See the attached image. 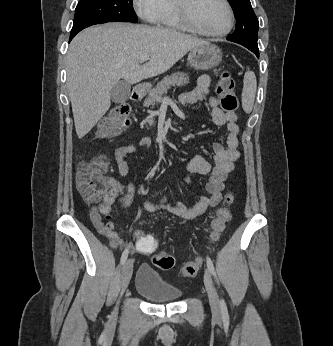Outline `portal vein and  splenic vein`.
I'll use <instances>...</instances> for the list:
<instances>
[{"label":"portal vein and splenic vein","mask_w":333,"mask_h":346,"mask_svg":"<svg viewBox=\"0 0 333 346\" xmlns=\"http://www.w3.org/2000/svg\"><path fill=\"white\" fill-rule=\"evenodd\" d=\"M147 60H149V56L148 55H144V56L141 57V61L142 62H145Z\"/></svg>","instance_id":"portal-vein-and-splenic-vein-1"}]
</instances>
